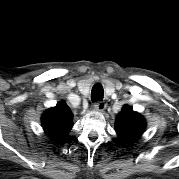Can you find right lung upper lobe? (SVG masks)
Returning <instances> with one entry per match:
<instances>
[{
	"mask_svg": "<svg viewBox=\"0 0 179 179\" xmlns=\"http://www.w3.org/2000/svg\"><path fill=\"white\" fill-rule=\"evenodd\" d=\"M73 115L64 101L48 109L41 118L42 127L54 141L62 142L73 126Z\"/></svg>",
	"mask_w": 179,
	"mask_h": 179,
	"instance_id": "cb5924a9",
	"label": "right lung upper lobe"
}]
</instances>
